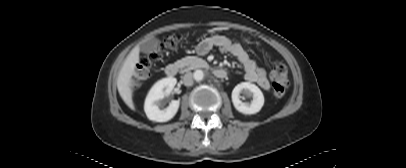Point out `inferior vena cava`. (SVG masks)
Here are the masks:
<instances>
[{
  "instance_id": "inferior-vena-cava-1",
  "label": "inferior vena cava",
  "mask_w": 406,
  "mask_h": 168,
  "mask_svg": "<svg viewBox=\"0 0 406 168\" xmlns=\"http://www.w3.org/2000/svg\"><path fill=\"white\" fill-rule=\"evenodd\" d=\"M183 82L185 86H191L193 84V74L192 73H186L183 77Z\"/></svg>"
}]
</instances>
